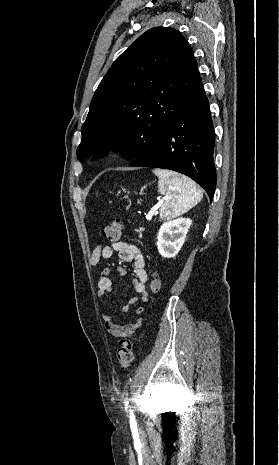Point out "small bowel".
<instances>
[{"mask_svg": "<svg viewBox=\"0 0 279 465\" xmlns=\"http://www.w3.org/2000/svg\"><path fill=\"white\" fill-rule=\"evenodd\" d=\"M115 254L123 262H130L133 264V287L137 294L140 297H131L121 310L127 312L131 306L135 305L139 300L148 301V293L146 291V283L148 280V274L145 270V259L143 253L133 244L126 243L123 241H112L109 245L99 244L97 245L91 254L90 264L92 267H96L101 259H112ZM117 271L119 274H126V270L122 267H118ZM111 269L104 268L102 271V276L98 281V290L97 297L99 299H106L110 301L109 294L112 291L113 282L110 277ZM144 312L143 307H139L136 310L137 314H142ZM103 325L106 332L113 338L120 339L128 335L134 334L138 331L143 324V318L139 317L136 320L119 325L114 322V319L111 315L103 314L102 315Z\"/></svg>", "mask_w": 279, "mask_h": 465, "instance_id": "small-bowel-1", "label": "small bowel"}]
</instances>
